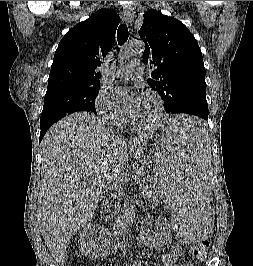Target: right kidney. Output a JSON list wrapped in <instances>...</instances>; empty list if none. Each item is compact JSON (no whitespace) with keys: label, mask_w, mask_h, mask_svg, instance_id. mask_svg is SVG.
<instances>
[{"label":"right kidney","mask_w":253,"mask_h":266,"mask_svg":"<svg viewBox=\"0 0 253 266\" xmlns=\"http://www.w3.org/2000/svg\"><path fill=\"white\" fill-rule=\"evenodd\" d=\"M109 231L95 223H88L80 232L79 247L89 258H100L107 254Z\"/></svg>","instance_id":"right-kidney-1"}]
</instances>
